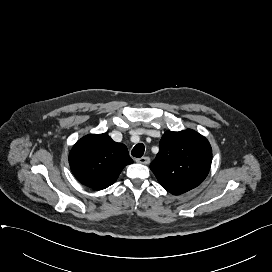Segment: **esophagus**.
Segmentation results:
<instances>
[{
	"label": "esophagus",
	"mask_w": 272,
	"mask_h": 272,
	"mask_svg": "<svg viewBox=\"0 0 272 272\" xmlns=\"http://www.w3.org/2000/svg\"><path fill=\"white\" fill-rule=\"evenodd\" d=\"M136 162L147 165L150 163V158L149 157H141V158H137Z\"/></svg>",
	"instance_id": "esophagus-1"
}]
</instances>
